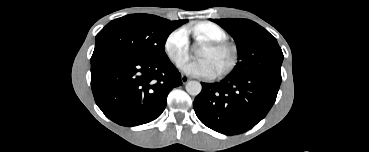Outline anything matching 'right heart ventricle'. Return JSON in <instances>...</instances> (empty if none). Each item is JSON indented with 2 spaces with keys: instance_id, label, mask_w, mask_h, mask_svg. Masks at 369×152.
Instances as JSON below:
<instances>
[{
  "instance_id": "1",
  "label": "right heart ventricle",
  "mask_w": 369,
  "mask_h": 152,
  "mask_svg": "<svg viewBox=\"0 0 369 152\" xmlns=\"http://www.w3.org/2000/svg\"><path fill=\"white\" fill-rule=\"evenodd\" d=\"M187 33L202 42L223 41L227 39L226 32L210 21L197 22L186 29Z\"/></svg>"
}]
</instances>
